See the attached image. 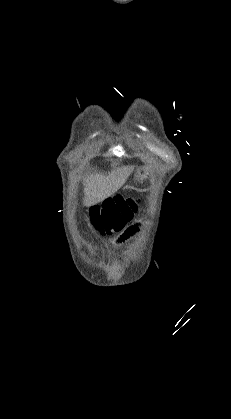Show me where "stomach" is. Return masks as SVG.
<instances>
[{
    "label": "stomach",
    "instance_id": "1",
    "mask_svg": "<svg viewBox=\"0 0 231 419\" xmlns=\"http://www.w3.org/2000/svg\"><path fill=\"white\" fill-rule=\"evenodd\" d=\"M146 177V168H139L134 176V179L137 181H143Z\"/></svg>",
    "mask_w": 231,
    "mask_h": 419
}]
</instances>
